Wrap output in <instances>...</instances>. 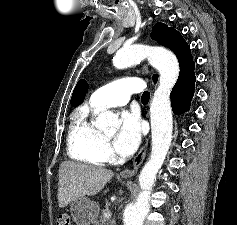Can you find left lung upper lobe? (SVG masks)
Returning <instances> with one entry per match:
<instances>
[{"mask_svg": "<svg viewBox=\"0 0 237 225\" xmlns=\"http://www.w3.org/2000/svg\"><path fill=\"white\" fill-rule=\"evenodd\" d=\"M151 38L161 45L168 47L176 54L180 65V73H194V62L190 47L178 31L168 27L166 24L157 23L152 28ZM157 78V75L153 76L154 82H156Z\"/></svg>", "mask_w": 237, "mask_h": 225, "instance_id": "obj_1", "label": "left lung upper lobe"}]
</instances>
